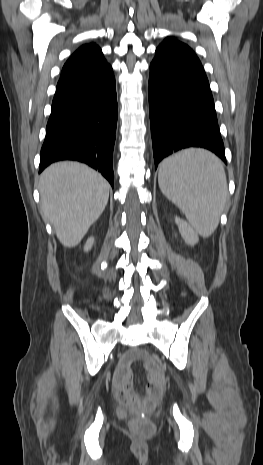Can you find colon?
Segmentation results:
<instances>
[{"mask_svg": "<svg viewBox=\"0 0 263 465\" xmlns=\"http://www.w3.org/2000/svg\"><path fill=\"white\" fill-rule=\"evenodd\" d=\"M147 392V396L138 397L129 403L130 408L136 413L131 419L130 425L132 429L142 434H147L152 431V424L146 418L145 414L154 410L155 401L161 393V385L149 384Z\"/></svg>", "mask_w": 263, "mask_h": 465, "instance_id": "colon-1", "label": "colon"}]
</instances>
